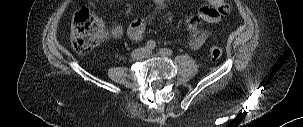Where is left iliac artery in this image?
Returning a JSON list of instances; mask_svg holds the SVG:
<instances>
[{
  "mask_svg": "<svg viewBox=\"0 0 303 127\" xmlns=\"http://www.w3.org/2000/svg\"><path fill=\"white\" fill-rule=\"evenodd\" d=\"M159 52L164 56H171L173 54V51L169 48H162Z\"/></svg>",
  "mask_w": 303,
  "mask_h": 127,
  "instance_id": "44dca946",
  "label": "left iliac artery"
}]
</instances>
